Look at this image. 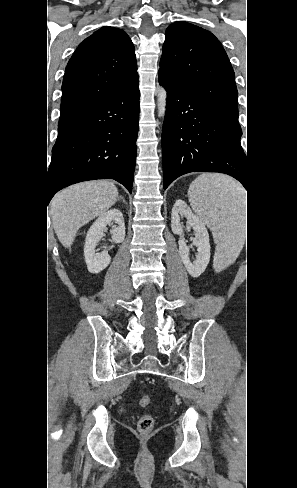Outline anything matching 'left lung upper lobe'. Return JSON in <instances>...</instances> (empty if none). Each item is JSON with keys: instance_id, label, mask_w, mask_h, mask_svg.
Segmentation results:
<instances>
[{"instance_id": "1", "label": "left lung upper lobe", "mask_w": 297, "mask_h": 488, "mask_svg": "<svg viewBox=\"0 0 297 488\" xmlns=\"http://www.w3.org/2000/svg\"><path fill=\"white\" fill-rule=\"evenodd\" d=\"M159 74L198 100L238 119L235 74L218 39L183 21L171 24Z\"/></svg>"}]
</instances>
